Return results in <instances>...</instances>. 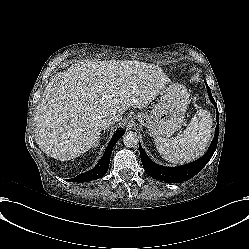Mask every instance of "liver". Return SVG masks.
<instances>
[{
	"instance_id": "liver-1",
	"label": "liver",
	"mask_w": 249,
	"mask_h": 249,
	"mask_svg": "<svg viewBox=\"0 0 249 249\" xmlns=\"http://www.w3.org/2000/svg\"><path fill=\"white\" fill-rule=\"evenodd\" d=\"M163 86L156 66L125 61L77 64L46 87L36 111V143L59 160L79 157L97 146L105 118L115 115L120 121L129 107H147Z\"/></svg>"
}]
</instances>
